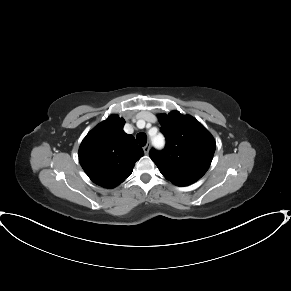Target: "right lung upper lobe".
I'll use <instances>...</instances> for the list:
<instances>
[{
	"instance_id": "obj_1",
	"label": "right lung upper lobe",
	"mask_w": 291,
	"mask_h": 291,
	"mask_svg": "<svg viewBox=\"0 0 291 291\" xmlns=\"http://www.w3.org/2000/svg\"><path fill=\"white\" fill-rule=\"evenodd\" d=\"M125 120L111 115L91 130L79 148V162L96 184L114 188L131 175L144 155L135 138L123 131Z\"/></svg>"
}]
</instances>
